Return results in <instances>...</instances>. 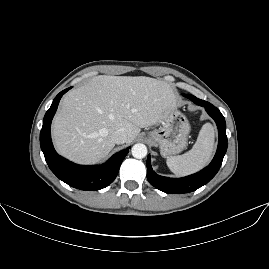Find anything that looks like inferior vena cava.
<instances>
[{"mask_svg": "<svg viewBox=\"0 0 269 269\" xmlns=\"http://www.w3.org/2000/svg\"><path fill=\"white\" fill-rule=\"evenodd\" d=\"M111 139L115 144H123L127 141V133L123 129H118L112 133Z\"/></svg>", "mask_w": 269, "mask_h": 269, "instance_id": "602c4592", "label": "inferior vena cava"}]
</instances>
